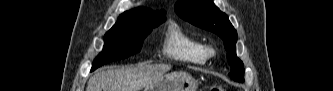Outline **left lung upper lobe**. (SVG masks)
<instances>
[{"label": "left lung upper lobe", "instance_id": "obj_1", "mask_svg": "<svg viewBox=\"0 0 333 91\" xmlns=\"http://www.w3.org/2000/svg\"><path fill=\"white\" fill-rule=\"evenodd\" d=\"M175 11L182 19L191 24L217 34L224 40L227 59L231 66L232 79L244 81V66L236 56L237 32L230 23L228 16L216 7L212 0H179Z\"/></svg>", "mask_w": 333, "mask_h": 91}]
</instances>
